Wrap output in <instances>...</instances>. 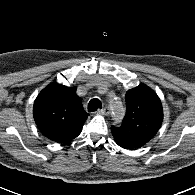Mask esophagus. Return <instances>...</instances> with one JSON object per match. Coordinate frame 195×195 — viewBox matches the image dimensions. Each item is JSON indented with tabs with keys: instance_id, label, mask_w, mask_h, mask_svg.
<instances>
[{
	"instance_id": "obj_1",
	"label": "esophagus",
	"mask_w": 195,
	"mask_h": 195,
	"mask_svg": "<svg viewBox=\"0 0 195 195\" xmlns=\"http://www.w3.org/2000/svg\"><path fill=\"white\" fill-rule=\"evenodd\" d=\"M99 111L102 112L103 114H109L110 109L108 107H104L102 110Z\"/></svg>"
}]
</instances>
